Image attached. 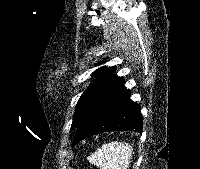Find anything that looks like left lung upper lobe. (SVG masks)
Instances as JSON below:
<instances>
[{
  "mask_svg": "<svg viewBox=\"0 0 200 169\" xmlns=\"http://www.w3.org/2000/svg\"><path fill=\"white\" fill-rule=\"evenodd\" d=\"M114 72V67H101L97 71L93 72L95 80L92 85L84 91L78 101L71 131L79 126L88 112L98 101L123 85V77H118Z\"/></svg>",
  "mask_w": 200,
  "mask_h": 169,
  "instance_id": "5c2ea615",
  "label": "left lung upper lobe"
}]
</instances>
